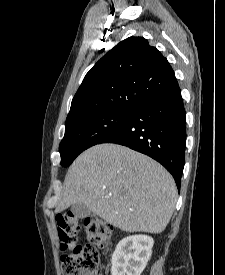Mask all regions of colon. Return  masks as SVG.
<instances>
[{
  "mask_svg": "<svg viewBox=\"0 0 225 275\" xmlns=\"http://www.w3.org/2000/svg\"><path fill=\"white\" fill-rule=\"evenodd\" d=\"M56 223L60 247L63 250L72 249L61 257L62 275H93L100 262L98 249L107 247L114 235L113 227L95 216L86 217L81 221L71 214L59 215ZM80 223L90 243L88 246L76 245Z\"/></svg>",
  "mask_w": 225,
  "mask_h": 275,
  "instance_id": "colon-1",
  "label": "colon"
}]
</instances>
